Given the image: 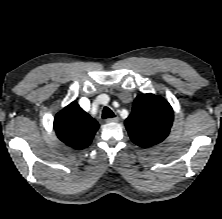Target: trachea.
Returning a JSON list of instances; mask_svg holds the SVG:
<instances>
[{
    "instance_id": "1",
    "label": "trachea",
    "mask_w": 222,
    "mask_h": 219,
    "mask_svg": "<svg viewBox=\"0 0 222 219\" xmlns=\"http://www.w3.org/2000/svg\"><path fill=\"white\" fill-rule=\"evenodd\" d=\"M115 117V114L112 112V110L108 107H104L103 112H102V118H112Z\"/></svg>"
}]
</instances>
